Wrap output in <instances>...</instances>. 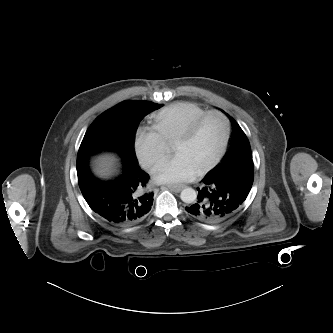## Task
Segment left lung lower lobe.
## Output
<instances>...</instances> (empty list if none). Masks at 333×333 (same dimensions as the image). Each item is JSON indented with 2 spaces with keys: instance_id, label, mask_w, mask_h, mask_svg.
I'll list each match as a JSON object with an SVG mask.
<instances>
[{
  "instance_id": "obj_1",
  "label": "left lung lower lobe",
  "mask_w": 333,
  "mask_h": 333,
  "mask_svg": "<svg viewBox=\"0 0 333 333\" xmlns=\"http://www.w3.org/2000/svg\"><path fill=\"white\" fill-rule=\"evenodd\" d=\"M254 169L232 167L223 173L206 175L198 188L197 202L186 211L202 222L216 223L231 216L247 198Z\"/></svg>"
}]
</instances>
